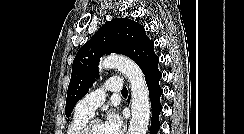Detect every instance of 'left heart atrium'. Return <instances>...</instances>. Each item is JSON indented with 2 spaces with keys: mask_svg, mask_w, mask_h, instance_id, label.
Segmentation results:
<instances>
[{
  "mask_svg": "<svg viewBox=\"0 0 244 134\" xmlns=\"http://www.w3.org/2000/svg\"><path fill=\"white\" fill-rule=\"evenodd\" d=\"M122 126V120L116 113L108 114L103 123L105 134H122Z\"/></svg>",
  "mask_w": 244,
  "mask_h": 134,
  "instance_id": "39dd6f15",
  "label": "left heart atrium"
}]
</instances>
